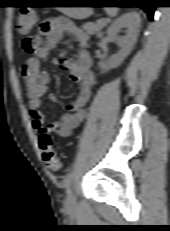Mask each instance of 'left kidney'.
Returning <instances> with one entry per match:
<instances>
[{"mask_svg":"<svg viewBox=\"0 0 170 231\" xmlns=\"http://www.w3.org/2000/svg\"><path fill=\"white\" fill-rule=\"evenodd\" d=\"M140 23L141 19L138 13H126L108 28L109 38L117 43L120 51L112 55L107 61L99 62L100 69L107 71L116 68L130 54L139 34ZM123 28H126V35L120 37L118 33Z\"/></svg>","mask_w":170,"mask_h":231,"instance_id":"1","label":"left kidney"}]
</instances>
